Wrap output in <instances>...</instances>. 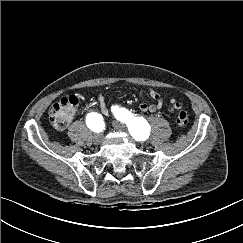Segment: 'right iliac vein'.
I'll use <instances>...</instances> for the list:
<instances>
[{
    "mask_svg": "<svg viewBox=\"0 0 243 243\" xmlns=\"http://www.w3.org/2000/svg\"><path fill=\"white\" fill-rule=\"evenodd\" d=\"M103 134L102 133H96L93 137V141L95 144H99L102 141Z\"/></svg>",
    "mask_w": 243,
    "mask_h": 243,
    "instance_id": "63e3f726",
    "label": "right iliac vein"
}]
</instances>
